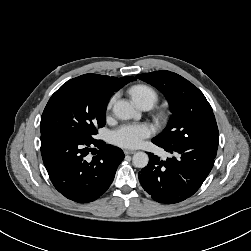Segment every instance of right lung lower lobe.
<instances>
[{
  "mask_svg": "<svg viewBox=\"0 0 251 251\" xmlns=\"http://www.w3.org/2000/svg\"><path fill=\"white\" fill-rule=\"evenodd\" d=\"M98 154L89 159L90 152ZM41 154L54 187L66 198L88 203L111 185L123 151L102 140H87L63 131L41 134ZM96 154V153H95Z\"/></svg>",
  "mask_w": 251,
  "mask_h": 251,
  "instance_id": "98d812e1",
  "label": "right lung lower lobe"
}]
</instances>
